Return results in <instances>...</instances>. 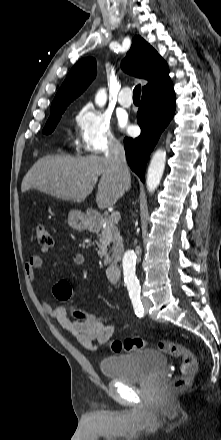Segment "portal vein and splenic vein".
<instances>
[{
  "instance_id": "1",
  "label": "portal vein and splenic vein",
  "mask_w": 221,
  "mask_h": 440,
  "mask_svg": "<svg viewBox=\"0 0 221 440\" xmlns=\"http://www.w3.org/2000/svg\"><path fill=\"white\" fill-rule=\"evenodd\" d=\"M110 220L114 223L118 222L120 220V213L118 211L112 212L110 215Z\"/></svg>"
}]
</instances>
